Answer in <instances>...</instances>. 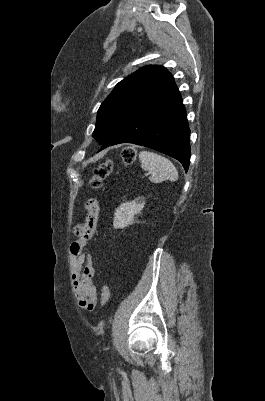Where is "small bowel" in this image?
Masks as SVG:
<instances>
[{"label": "small bowel", "instance_id": "small-bowel-1", "mask_svg": "<svg viewBox=\"0 0 265 401\" xmlns=\"http://www.w3.org/2000/svg\"><path fill=\"white\" fill-rule=\"evenodd\" d=\"M86 218L77 224L73 233L77 240L70 245L71 271L74 292L81 308L94 310L97 303V288L93 282L95 268L89 256L84 254V247L92 239L98 224L99 204L95 198H88L84 203Z\"/></svg>", "mask_w": 265, "mask_h": 401}]
</instances>
